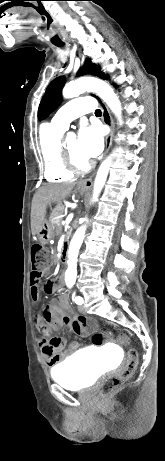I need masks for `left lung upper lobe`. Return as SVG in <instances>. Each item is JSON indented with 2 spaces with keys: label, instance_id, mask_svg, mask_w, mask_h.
Segmentation results:
<instances>
[{
  "label": "left lung upper lobe",
  "instance_id": "5c2ea615",
  "mask_svg": "<svg viewBox=\"0 0 165 461\" xmlns=\"http://www.w3.org/2000/svg\"><path fill=\"white\" fill-rule=\"evenodd\" d=\"M85 73H91L98 75L101 78L108 79V76L101 73L100 68L93 64L90 59H87L86 65L78 71L77 75H83ZM65 81L66 78L60 76L55 78L48 86L38 109V117L40 119L47 118L49 114L60 104L61 90Z\"/></svg>",
  "mask_w": 165,
  "mask_h": 461
}]
</instances>
